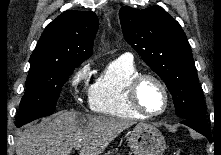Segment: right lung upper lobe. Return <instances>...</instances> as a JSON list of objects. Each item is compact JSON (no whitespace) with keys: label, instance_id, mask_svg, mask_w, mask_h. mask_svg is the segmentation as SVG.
<instances>
[{"label":"right lung upper lobe","instance_id":"right-lung-upper-lobe-1","mask_svg":"<svg viewBox=\"0 0 221 155\" xmlns=\"http://www.w3.org/2000/svg\"><path fill=\"white\" fill-rule=\"evenodd\" d=\"M98 26L94 12L65 11L47 25L29 62L81 64L92 54Z\"/></svg>","mask_w":221,"mask_h":155}]
</instances>
